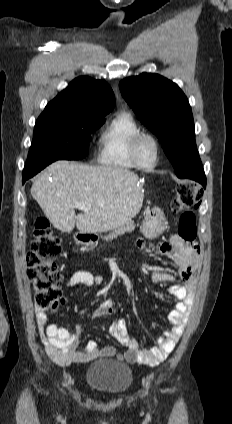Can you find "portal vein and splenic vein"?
<instances>
[{"mask_svg":"<svg viewBox=\"0 0 232 424\" xmlns=\"http://www.w3.org/2000/svg\"><path fill=\"white\" fill-rule=\"evenodd\" d=\"M75 208L82 210V211H88L91 209V204L87 203V202H83V203H76L75 204Z\"/></svg>","mask_w":232,"mask_h":424,"instance_id":"portal-vein-and-splenic-vein-1","label":"portal vein and splenic vein"}]
</instances>
